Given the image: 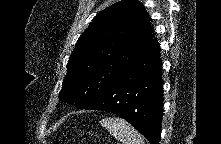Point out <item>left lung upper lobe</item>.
Masks as SVG:
<instances>
[{
    "mask_svg": "<svg viewBox=\"0 0 221 144\" xmlns=\"http://www.w3.org/2000/svg\"><path fill=\"white\" fill-rule=\"evenodd\" d=\"M152 39L149 14L139 2L121 0L104 9L79 37L59 97L88 109Z\"/></svg>",
    "mask_w": 221,
    "mask_h": 144,
    "instance_id": "1",
    "label": "left lung upper lobe"
}]
</instances>
